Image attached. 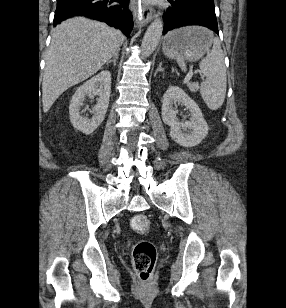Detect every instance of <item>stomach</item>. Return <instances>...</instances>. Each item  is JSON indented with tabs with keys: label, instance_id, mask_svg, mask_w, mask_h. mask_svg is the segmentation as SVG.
<instances>
[{
	"label": "stomach",
	"instance_id": "obj_1",
	"mask_svg": "<svg viewBox=\"0 0 286 308\" xmlns=\"http://www.w3.org/2000/svg\"><path fill=\"white\" fill-rule=\"evenodd\" d=\"M213 43V33L199 26H188L168 33L163 41V52L171 58L195 61L201 58Z\"/></svg>",
	"mask_w": 286,
	"mask_h": 308
}]
</instances>
